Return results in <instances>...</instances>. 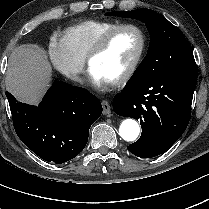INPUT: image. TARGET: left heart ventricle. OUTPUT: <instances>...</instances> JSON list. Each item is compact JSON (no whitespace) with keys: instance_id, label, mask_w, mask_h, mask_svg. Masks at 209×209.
<instances>
[{"instance_id":"left-heart-ventricle-1","label":"left heart ventricle","mask_w":209,"mask_h":209,"mask_svg":"<svg viewBox=\"0 0 209 209\" xmlns=\"http://www.w3.org/2000/svg\"><path fill=\"white\" fill-rule=\"evenodd\" d=\"M140 46L139 34L132 29L121 30L113 35L106 49L91 63L106 81H112L122 76Z\"/></svg>"}]
</instances>
